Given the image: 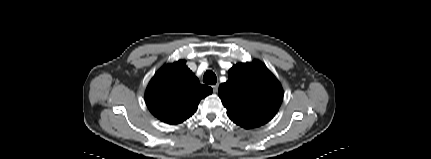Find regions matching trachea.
<instances>
[{
    "label": "trachea",
    "mask_w": 431,
    "mask_h": 159,
    "mask_svg": "<svg viewBox=\"0 0 431 159\" xmlns=\"http://www.w3.org/2000/svg\"><path fill=\"white\" fill-rule=\"evenodd\" d=\"M203 82L209 85H215L217 82L215 73L211 70H207L203 76Z\"/></svg>",
    "instance_id": "3493384b"
}]
</instances>
